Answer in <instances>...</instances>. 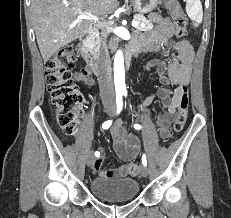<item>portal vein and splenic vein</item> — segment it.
Listing matches in <instances>:
<instances>
[{
	"mask_svg": "<svg viewBox=\"0 0 231 218\" xmlns=\"http://www.w3.org/2000/svg\"><path fill=\"white\" fill-rule=\"evenodd\" d=\"M79 18H82V19H87V20H94V21H97L98 18L95 17L94 15L92 14H86V13H82L80 10H79ZM139 25V23L136 21V20H133L132 21V26L133 27H137Z\"/></svg>",
	"mask_w": 231,
	"mask_h": 218,
	"instance_id": "18ae733b",
	"label": "portal vein and splenic vein"
}]
</instances>
